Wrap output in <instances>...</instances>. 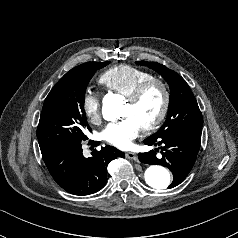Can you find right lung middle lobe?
<instances>
[{
	"label": "right lung middle lobe",
	"mask_w": 238,
	"mask_h": 238,
	"mask_svg": "<svg viewBox=\"0 0 238 238\" xmlns=\"http://www.w3.org/2000/svg\"><path fill=\"white\" fill-rule=\"evenodd\" d=\"M110 62H89L82 68L67 72L45 99L37 128L42 154L79 144L90 130L84 111L85 90L96 72Z\"/></svg>",
	"instance_id": "dd1d6c3e"
}]
</instances>
